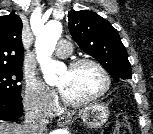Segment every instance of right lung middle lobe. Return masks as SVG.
<instances>
[{"instance_id":"obj_1","label":"right lung middle lobe","mask_w":153,"mask_h":134,"mask_svg":"<svg viewBox=\"0 0 153 134\" xmlns=\"http://www.w3.org/2000/svg\"><path fill=\"white\" fill-rule=\"evenodd\" d=\"M21 80L22 66L0 67V97L21 101Z\"/></svg>"}]
</instances>
